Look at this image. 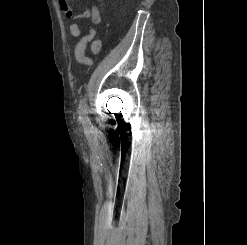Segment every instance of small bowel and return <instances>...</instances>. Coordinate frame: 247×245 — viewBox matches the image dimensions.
<instances>
[{"instance_id": "1", "label": "small bowel", "mask_w": 247, "mask_h": 245, "mask_svg": "<svg viewBox=\"0 0 247 245\" xmlns=\"http://www.w3.org/2000/svg\"><path fill=\"white\" fill-rule=\"evenodd\" d=\"M61 9L65 16L70 20H80L91 18L95 24L100 22V16L95 8L88 6L82 13L74 15L72 9L69 7L68 0H58ZM70 32L74 37L81 35V26L77 22H72L70 25ZM91 43V48L94 53L99 52L101 48V40L96 37V31L93 28L88 29V33L80 38L74 48V56L78 63L91 65L92 61L85 54L87 45Z\"/></svg>"}]
</instances>
